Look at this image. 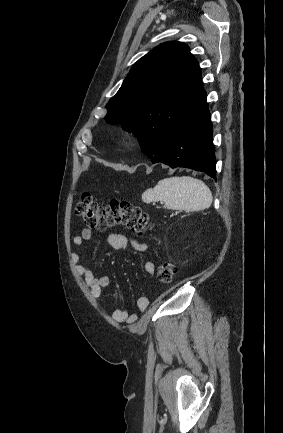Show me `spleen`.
I'll return each instance as SVG.
<instances>
[{
    "label": "spleen",
    "instance_id": "spleen-1",
    "mask_svg": "<svg viewBox=\"0 0 283 433\" xmlns=\"http://www.w3.org/2000/svg\"><path fill=\"white\" fill-rule=\"evenodd\" d=\"M143 202L163 200L165 208L172 210H203L212 204V192L199 178L171 176L159 180L154 188L142 194Z\"/></svg>",
    "mask_w": 283,
    "mask_h": 433
}]
</instances>
